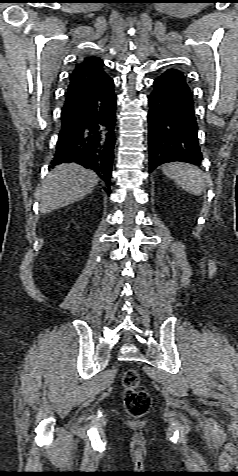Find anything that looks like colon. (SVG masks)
<instances>
[{"instance_id": "1", "label": "colon", "mask_w": 238, "mask_h": 476, "mask_svg": "<svg viewBox=\"0 0 238 476\" xmlns=\"http://www.w3.org/2000/svg\"><path fill=\"white\" fill-rule=\"evenodd\" d=\"M122 386L124 388V407L127 413L133 417H141L148 412L151 407L149 394L139 389L140 376L137 370L128 369L122 375Z\"/></svg>"}]
</instances>
